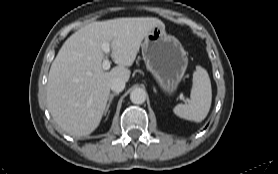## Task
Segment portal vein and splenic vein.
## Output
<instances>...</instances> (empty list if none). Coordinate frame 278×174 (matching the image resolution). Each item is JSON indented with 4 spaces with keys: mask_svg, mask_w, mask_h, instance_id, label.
I'll return each instance as SVG.
<instances>
[{
    "mask_svg": "<svg viewBox=\"0 0 278 174\" xmlns=\"http://www.w3.org/2000/svg\"><path fill=\"white\" fill-rule=\"evenodd\" d=\"M101 48L102 50L106 53V54H109L110 52V44L108 42H105L101 45ZM110 64L111 62L109 61V59L106 57L104 60H103V63H102V68L104 70H109L110 69ZM180 98L182 100H186L188 101V99H185L183 95L180 96Z\"/></svg>",
    "mask_w": 278,
    "mask_h": 174,
    "instance_id": "1",
    "label": "portal vein and splenic vein"
}]
</instances>
